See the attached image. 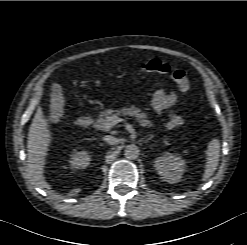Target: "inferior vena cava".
I'll return each instance as SVG.
<instances>
[{
	"label": "inferior vena cava",
	"mask_w": 247,
	"mask_h": 245,
	"mask_svg": "<svg viewBox=\"0 0 247 245\" xmlns=\"http://www.w3.org/2000/svg\"><path fill=\"white\" fill-rule=\"evenodd\" d=\"M103 140H104L105 142H107L108 144H110V145H115V144L118 143V139L115 138V137H113V136H111V135H106V136L103 138Z\"/></svg>",
	"instance_id": "inferior-vena-cava-1"
}]
</instances>
